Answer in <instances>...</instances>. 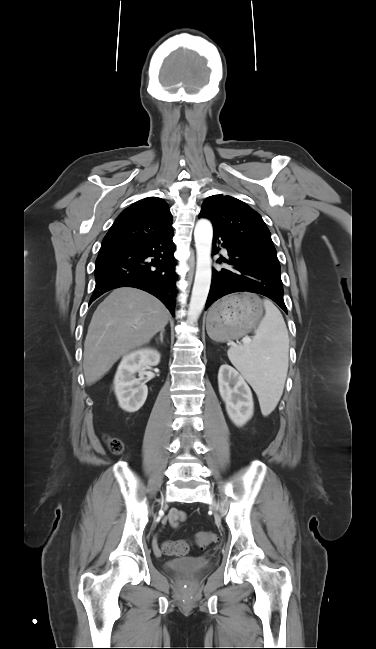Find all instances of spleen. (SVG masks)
Listing matches in <instances>:
<instances>
[{
  "instance_id": "spleen-1",
  "label": "spleen",
  "mask_w": 376,
  "mask_h": 649,
  "mask_svg": "<svg viewBox=\"0 0 376 649\" xmlns=\"http://www.w3.org/2000/svg\"><path fill=\"white\" fill-rule=\"evenodd\" d=\"M265 316L251 343L228 350L231 363L252 385L261 412L270 414L278 404L288 371V331L277 307L264 299Z\"/></svg>"
}]
</instances>
